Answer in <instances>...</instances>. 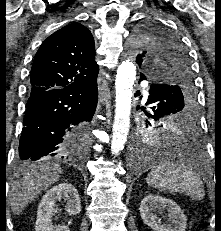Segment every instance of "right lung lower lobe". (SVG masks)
I'll return each mask as SVG.
<instances>
[{
  "label": "right lung lower lobe",
  "instance_id": "98d812e1",
  "mask_svg": "<svg viewBox=\"0 0 221 231\" xmlns=\"http://www.w3.org/2000/svg\"><path fill=\"white\" fill-rule=\"evenodd\" d=\"M97 82L30 95L19 142V160L81 157L88 143L79 126L89 124L97 105Z\"/></svg>",
  "mask_w": 221,
  "mask_h": 231
}]
</instances>
